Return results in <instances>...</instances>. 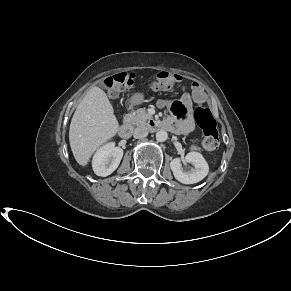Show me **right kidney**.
Listing matches in <instances>:
<instances>
[{
	"label": "right kidney",
	"mask_w": 291,
	"mask_h": 291,
	"mask_svg": "<svg viewBox=\"0 0 291 291\" xmlns=\"http://www.w3.org/2000/svg\"><path fill=\"white\" fill-rule=\"evenodd\" d=\"M123 150L115 147L114 143L102 146L94 155L92 167L96 175L106 177L113 173L120 164Z\"/></svg>",
	"instance_id": "obj_1"
}]
</instances>
